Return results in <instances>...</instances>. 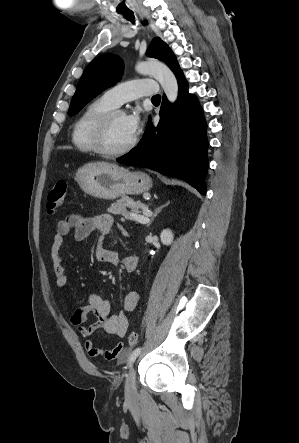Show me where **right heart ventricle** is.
Masks as SVG:
<instances>
[{
	"instance_id": "obj_1",
	"label": "right heart ventricle",
	"mask_w": 299,
	"mask_h": 443,
	"mask_svg": "<svg viewBox=\"0 0 299 443\" xmlns=\"http://www.w3.org/2000/svg\"><path fill=\"white\" fill-rule=\"evenodd\" d=\"M104 97H100L86 106L76 120L72 131V143L82 153H96L93 133L99 118L114 109Z\"/></svg>"
}]
</instances>
